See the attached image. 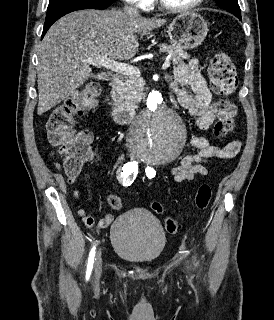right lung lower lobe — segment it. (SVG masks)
Masks as SVG:
<instances>
[{
	"label": "right lung lower lobe",
	"instance_id": "right-lung-lower-lobe-1",
	"mask_svg": "<svg viewBox=\"0 0 274 320\" xmlns=\"http://www.w3.org/2000/svg\"><path fill=\"white\" fill-rule=\"evenodd\" d=\"M115 1L116 0H93V1L79 2V3L67 4L60 8H56L54 10L48 11L46 14V19H45L41 39L44 37L45 33L50 28V26L62 16L70 12L82 10V9L103 10L108 8Z\"/></svg>",
	"mask_w": 274,
	"mask_h": 320
}]
</instances>
